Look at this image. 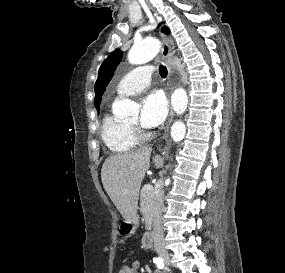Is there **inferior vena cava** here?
<instances>
[{
	"instance_id": "inferior-vena-cava-1",
	"label": "inferior vena cava",
	"mask_w": 285,
	"mask_h": 273,
	"mask_svg": "<svg viewBox=\"0 0 285 273\" xmlns=\"http://www.w3.org/2000/svg\"><path fill=\"white\" fill-rule=\"evenodd\" d=\"M164 206V191L163 181H158V188L155 192L153 202V239L155 251L158 254H166V248L164 244L163 225H162V211Z\"/></svg>"
}]
</instances>
